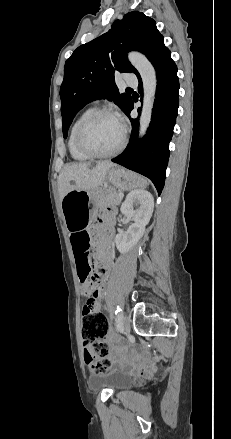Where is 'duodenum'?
<instances>
[{
  "label": "duodenum",
  "instance_id": "410a0bca",
  "mask_svg": "<svg viewBox=\"0 0 231 439\" xmlns=\"http://www.w3.org/2000/svg\"><path fill=\"white\" fill-rule=\"evenodd\" d=\"M107 267H108V264L101 263L100 267H99V272L103 273L105 270H107Z\"/></svg>",
  "mask_w": 231,
  "mask_h": 439
}]
</instances>
